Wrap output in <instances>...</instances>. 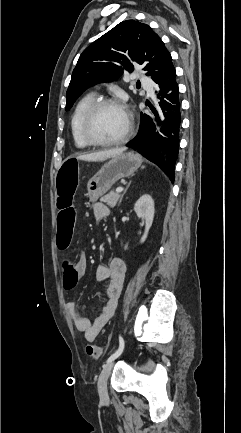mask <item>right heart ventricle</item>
Returning <instances> with one entry per match:
<instances>
[{
	"label": "right heart ventricle",
	"mask_w": 241,
	"mask_h": 433,
	"mask_svg": "<svg viewBox=\"0 0 241 433\" xmlns=\"http://www.w3.org/2000/svg\"><path fill=\"white\" fill-rule=\"evenodd\" d=\"M95 101L93 94H86L76 104L71 117V134L77 148L85 149L90 146L82 134V120L88 108Z\"/></svg>",
	"instance_id": "obj_1"
}]
</instances>
